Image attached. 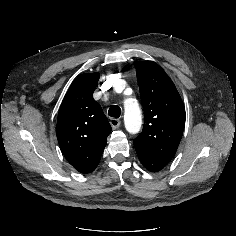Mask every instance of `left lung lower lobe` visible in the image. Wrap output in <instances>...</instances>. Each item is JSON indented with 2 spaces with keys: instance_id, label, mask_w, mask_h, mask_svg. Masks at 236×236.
Listing matches in <instances>:
<instances>
[{
  "instance_id": "1",
  "label": "left lung lower lobe",
  "mask_w": 236,
  "mask_h": 236,
  "mask_svg": "<svg viewBox=\"0 0 236 236\" xmlns=\"http://www.w3.org/2000/svg\"><path fill=\"white\" fill-rule=\"evenodd\" d=\"M137 155L142 165L151 172H158L168 164V162L150 157L140 152H137Z\"/></svg>"
}]
</instances>
